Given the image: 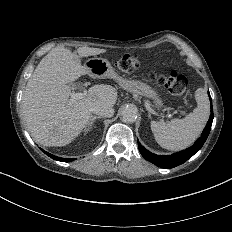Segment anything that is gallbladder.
<instances>
[{
    "mask_svg": "<svg viewBox=\"0 0 232 232\" xmlns=\"http://www.w3.org/2000/svg\"><path fill=\"white\" fill-rule=\"evenodd\" d=\"M72 87H73L75 90H79V91H84V90H85V84H84V83L76 82V83H73V84H72Z\"/></svg>",
    "mask_w": 232,
    "mask_h": 232,
    "instance_id": "gallbladder-1",
    "label": "gallbladder"
}]
</instances>
